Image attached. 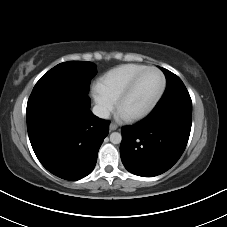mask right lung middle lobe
I'll use <instances>...</instances> for the list:
<instances>
[{"mask_svg":"<svg viewBox=\"0 0 227 227\" xmlns=\"http://www.w3.org/2000/svg\"><path fill=\"white\" fill-rule=\"evenodd\" d=\"M92 62L70 61L60 63L49 70L36 83L27 107L58 93L82 92L88 94L91 79L96 75Z\"/></svg>","mask_w":227,"mask_h":227,"instance_id":"1","label":"right lung middle lobe"}]
</instances>
